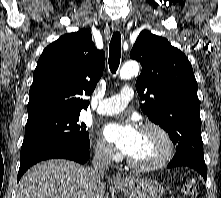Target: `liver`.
Wrapping results in <instances>:
<instances>
[{
  "label": "liver",
  "instance_id": "obj_1",
  "mask_svg": "<svg viewBox=\"0 0 221 198\" xmlns=\"http://www.w3.org/2000/svg\"><path fill=\"white\" fill-rule=\"evenodd\" d=\"M106 186L90 168L54 159L31 167L21 178L17 198H103Z\"/></svg>",
  "mask_w": 221,
  "mask_h": 198
}]
</instances>
